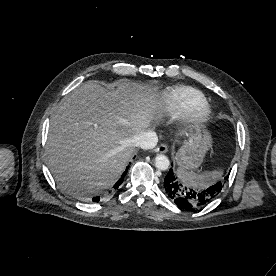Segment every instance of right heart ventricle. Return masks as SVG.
Here are the masks:
<instances>
[{"label": "right heart ventricle", "mask_w": 276, "mask_h": 276, "mask_svg": "<svg viewBox=\"0 0 276 276\" xmlns=\"http://www.w3.org/2000/svg\"><path fill=\"white\" fill-rule=\"evenodd\" d=\"M205 102L203 93L187 86L173 88L164 96L165 109L174 117H184L191 109Z\"/></svg>", "instance_id": "1"}]
</instances>
